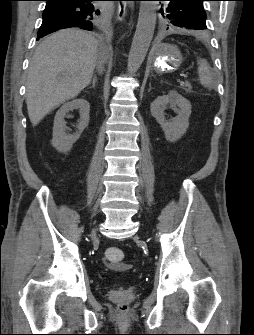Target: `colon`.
<instances>
[{"label":"colon","mask_w":254,"mask_h":335,"mask_svg":"<svg viewBox=\"0 0 254 335\" xmlns=\"http://www.w3.org/2000/svg\"><path fill=\"white\" fill-rule=\"evenodd\" d=\"M106 260L113 266L120 265L124 260V252L116 247L107 248L105 251ZM121 311L127 310V304L122 303L119 306Z\"/></svg>","instance_id":"1"}]
</instances>
